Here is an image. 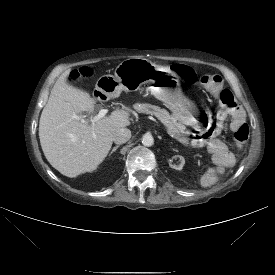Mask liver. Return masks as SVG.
Here are the masks:
<instances>
[{
  "label": "liver",
  "instance_id": "1",
  "mask_svg": "<svg viewBox=\"0 0 275 275\" xmlns=\"http://www.w3.org/2000/svg\"><path fill=\"white\" fill-rule=\"evenodd\" d=\"M70 69L51 89L39 121V139L48 162L61 174L76 177L94 171L111 149L114 133L129 126L128 111L115 110L94 125L75 118L93 113L96 101L67 83Z\"/></svg>",
  "mask_w": 275,
  "mask_h": 275
}]
</instances>
